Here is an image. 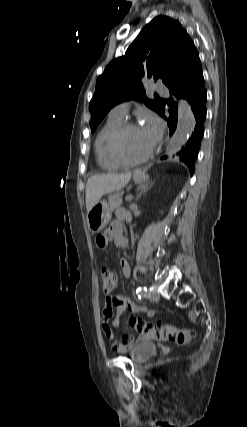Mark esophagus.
<instances>
[{
    "instance_id": "1",
    "label": "esophagus",
    "mask_w": 247,
    "mask_h": 427,
    "mask_svg": "<svg viewBox=\"0 0 247 427\" xmlns=\"http://www.w3.org/2000/svg\"><path fill=\"white\" fill-rule=\"evenodd\" d=\"M137 173H138V174H140V173H141V171H137Z\"/></svg>"
}]
</instances>
